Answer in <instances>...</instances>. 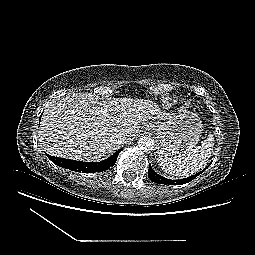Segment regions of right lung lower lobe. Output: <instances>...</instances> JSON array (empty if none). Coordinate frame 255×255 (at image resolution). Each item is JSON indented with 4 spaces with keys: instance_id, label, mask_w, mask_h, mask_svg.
<instances>
[{
    "instance_id": "98d812e1",
    "label": "right lung lower lobe",
    "mask_w": 255,
    "mask_h": 255,
    "mask_svg": "<svg viewBox=\"0 0 255 255\" xmlns=\"http://www.w3.org/2000/svg\"><path fill=\"white\" fill-rule=\"evenodd\" d=\"M121 150L119 149L112 156L101 162H83L46 155L55 165L62 168L82 173H95L105 171L113 166Z\"/></svg>"
}]
</instances>
